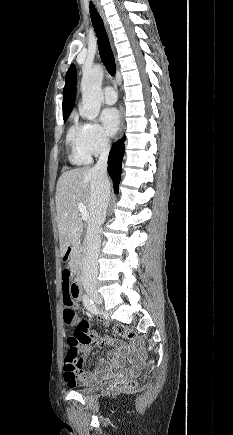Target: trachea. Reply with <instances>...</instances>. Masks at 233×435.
Segmentation results:
<instances>
[{
    "label": "trachea",
    "mask_w": 233,
    "mask_h": 435,
    "mask_svg": "<svg viewBox=\"0 0 233 435\" xmlns=\"http://www.w3.org/2000/svg\"><path fill=\"white\" fill-rule=\"evenodd\" d=\"M89 8H90V16H91L92 24L96 32V37L98 38L97 43H98V49H99V54L102 63L106 67L108 73L111 76H114L116 73L115 58L110 46V42L103 21L99 16L93 3L89 5Z\"/></svg>",
    "instance_id": "3493384b"
}]
</instances>
